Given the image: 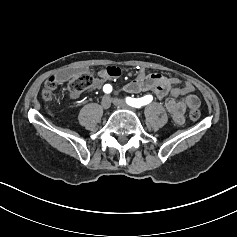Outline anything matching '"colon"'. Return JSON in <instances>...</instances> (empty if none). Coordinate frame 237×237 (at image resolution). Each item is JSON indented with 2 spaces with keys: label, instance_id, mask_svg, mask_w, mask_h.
<instances>
[{
  "label": "colon",
  "instance_id": "5ec220e1",
  "mask_svg": "<svg viewBox=\"0 0 237 237\" xmlns=\"http://www.w3.org/2000/svg\"><path fill=\"white\" fill-rule=\"evenodd\" d=\"M94 78L89 73H80L73 77L69 83V89L72 92H82L91 87ZM56 79L50 77L45 84L42 96L45 100H51L53 93L56 89ZM190 118L194 121L200 118V112L198 109H192L190 111Z\"/></svg>",
  "mask_w": 237,
  "mask_h": 237
}]
</instances>
